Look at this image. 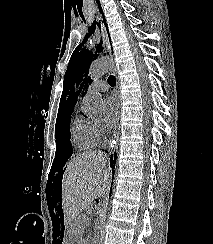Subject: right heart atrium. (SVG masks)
Listing matches in <instances>:
<instances>
[{
    "label": "right heart atrium",
    "instance_id": "1",
    "mask_svg": "<svg viewBox=\"0 0 213 244\" xmlns=\"http://www.w3.org/2000/svg\"><path fill=\"white\" fill-rule=\"evenodd\" d=\"M92 126L97 140H101L105 134L104 125L99 120H92Z\"/></svg>",
    "mask_w": 213,
    "mask_h": 244
}]
</instances>
